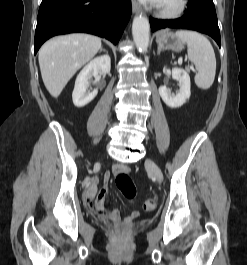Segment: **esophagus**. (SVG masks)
<instances>
[{
	"label": "esophagus",
	"mask_w": 247,
	"mask_h": 265,
	"mask_svg": "<svg viewBox=\"0 0 247 265\" xmlns=\"http://www.w3.org/2000/svg\"><path fill=\"white\" fill-rule=\"evenodd\" d=\"M132 9L134 13H140L141 12V6L136 0H132Z\"/></svg>",
	"instance_id": "1"
}]
</instances>
